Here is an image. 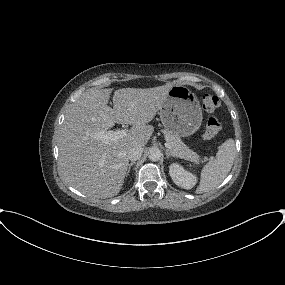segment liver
I'll return each instance as SVG.
<instances>
[{"instance_id": "1", "label": "liver", "mask_w": 285, "mask_h": 285, "mask_svg": "<svg viewBox=\"0 0 285 285\" xmlns=\"http://www.w3.org/2000/svg\"><path fill=\"white\" fill-rule=\"evenodd\" d=\"M174 83L154 88H122L114 92L113 109L108 106L112 89H89L65 115L59 137V166L66 182L92 198L117 195L128 168V150L145 146L153 120ZM118 124L132 125L127 136L103 143L93 134Z\"/></svg>"}]
</instances>
